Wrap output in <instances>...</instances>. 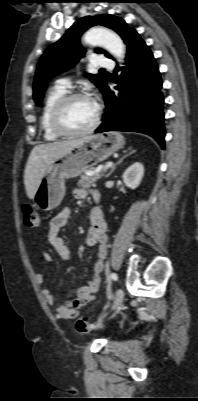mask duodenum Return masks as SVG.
<instances>
[{"mask_svg":"<svg viewBox=\"0 0 198 401\" xmlns=\"http://www.w3.org/2000/svg\"><path fill=\"white\" fill-rule=\"evenodd\" d=\"M93 197H94V198H97V194L94 193V194H93Z\"/></svg>","mask_w":198,"mask_h":401,"instance_id":"duodenum-1","label":"duodenum"}]
</instances>
